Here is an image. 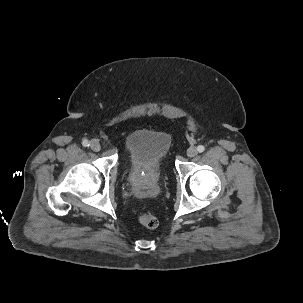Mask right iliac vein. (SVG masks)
<instances>
[{"instance_id": "1", "label": "right iliac vein", "mask_w": 303, "mask_h": 303, "mask_svg": "<svg viewBox=\"0 0 303 303\" xmlns=\"http://www.w3.org/2000/svg\"><path fill=\"white\" fill-rule=\"evenodd\" d=\"M90 147L95 152H98V151L101 150V144L96 139H94V140L91 141Z\"/></svg>"}]
</instances>
